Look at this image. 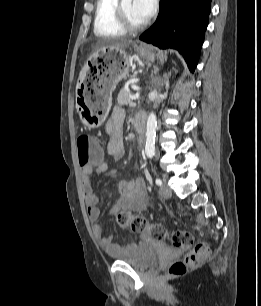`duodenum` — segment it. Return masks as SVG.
Returning <instances> with one entry per match:
<instances>
[{
	"label": "duodenum",
	"mask_w": 261,
	"mask_h": 306,
	"mask_svg": "<svg viewBox=\"0 0 261 306\" xmlns=\"http://www.w3.org/2000/svg\"><path fill=\"white\" fill-rule=\"evenodd\" d=\"M133 124L138 133V141L141 143L145 135V126H146V115L144 113H139L135 115L133 119Z\"/></svg>",
	"instance_id": "1"
}]
</instances>
